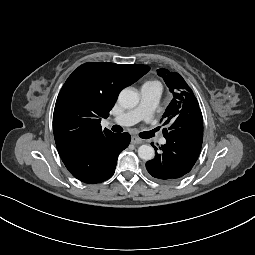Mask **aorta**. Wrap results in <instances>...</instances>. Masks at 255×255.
I'll list each match as a JSON object with an SVG mask.
<instances>
[{
	"instance_id": "aorta-1",
	"label": "aorta",
	"mask_w": 255,
	"mask_h": 255,
	"mask_svg": "<svg viewBox=\"0 0 255 255\" xmlns=\"http://www.w3.org/2000/svg\"><path fill=\"white\" fill-rule=\"evenodd\" d=\"M119 104L126 109H132L139 103V94L134 88L123 89L118 97ZM138 155L143 160H151L155 156L154 148L150 145H141L138 148Z\"/></svg>"
}]
</instances>
